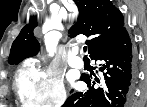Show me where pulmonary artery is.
I'll use <instances>...</instances> for the list:
<instances>
[{
    "mask_svg": "<svg viewBox=\"0 0 147 107\" xmlns=\"http://www.w3.org/2000/svg\"><path fill=\"white\" fill-rule=\"evenodd\" d=\"M68 63L71 67H74V68H82L83 67L82 59L75 54H71L69 56Z\"/></svg>",
    "mask_w": 147,
    "mask_h": 107,
    "instance_id": "obj_1",
    "label": "pulmonary artery"
}]
</instances>
